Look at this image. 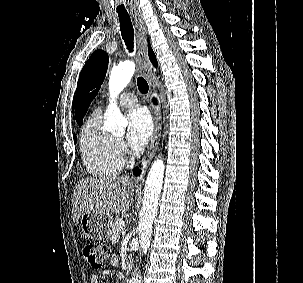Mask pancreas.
<instances>
[{
  "mask_svg": "<svg viewBox=\"0 0 303 283\" xmlns=\"http://www.w3.org/2000/svg\"><path fill=\"white\" fill-rule=\"evenodd\" d=\"M124 226L120 224V221L118 219H115L112 223V229L110 232V240L112 243H116L119 241L120 235L122 234V229Z\"/></svg>",
  "mask_w": 303,
  "mask_h": 283,
  "instance_id": "pancreas-1",
  "label": "pancreas"
}]
</instances>
